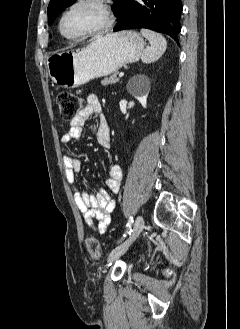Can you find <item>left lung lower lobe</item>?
Instances as JSON below:
<instances>
[{
  "instance_id": "1",
  "label": "left lung lower lobe",
  "mask_w": 240,
  "mask_h": 329,
  "mask_svg": "<svg viewBox=\"0 0 240 329\" xmlns=\"http://www.w3.org/2000/svg\"><path fill=\"white\" fill-rule=\"evenodd\" d=\"M182 10L181 0H126L113 30L147 28L168 34L179 44Z\"/></svg>"
}]
</instances>
